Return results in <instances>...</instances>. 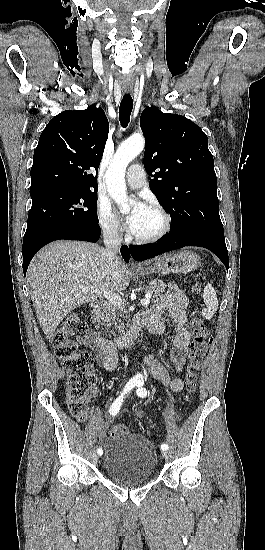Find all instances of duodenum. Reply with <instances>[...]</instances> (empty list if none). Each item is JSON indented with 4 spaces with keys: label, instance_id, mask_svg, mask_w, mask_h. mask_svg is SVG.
Listing matches in <instances>:
<instances>
[{
    "label": "duodenum",
    "instance_id": "obj_1",
    "mask_svg": "<svg viewBox=\"0 0 265 550\" xmlns=\"http://www.w3.org/2000/svg\"><path fill=\"white\" fill-rule=\"evenodd\" d=\"M90 310L93 314H97L101 307V302L95 300L90 304ZM143 325L141 321H138L132 329L127 331L125 334L115 339V346L118 349H127L134 345L136 340L139 338Z\"/></svg>",
    "mask_w": 265,
    "mask_h": 550
}]
</instances>
